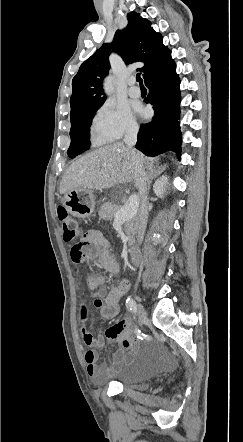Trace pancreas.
<instances>
[{
	"mask_svg": "<svg viewBox=\"0 0 243 442\" xmlns=\"http://www.w3.org/2000/svg\"><path fill=\"white\" fill-rule=\"evenodd\" d=\"M121 208L115 204H112L111 202H105L102 204L101 208L99 209L98 213L100 218H102L105 221H111L114 218V214L119 211ZM124 227L127 231V233L130 236V244L133 243V236L136 231V216L128 219L124 223Z\"/></svg>",
	"mask_w": 243,
	"mask_h": 442,
	"instance_id": "pancreas-1",
	"label": "pancreas"
}]
</instances>
